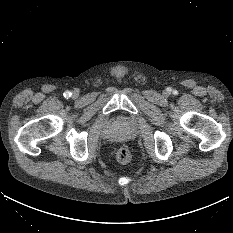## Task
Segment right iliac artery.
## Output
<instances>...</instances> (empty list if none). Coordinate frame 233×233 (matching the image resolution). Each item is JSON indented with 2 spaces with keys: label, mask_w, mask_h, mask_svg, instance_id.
<instances>
[{
  "label": "right iliac artery",
  "mask_w": 233,
  "mask_h": 233,
  "mask_svg": "<svg viewBox=\"0 0 233 233\" xmlns=\"http://www.w3.org/2000/svg\"><path fill=\"white\" fill-rule=\"evenodd\" d=\"M71 96V92L70 91H65L64 92V97H70Z\"/></svg>",
  "instance_id": "1"
}]
</instances>
